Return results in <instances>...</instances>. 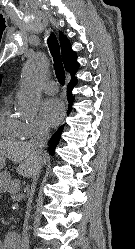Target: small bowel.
Here are the masks:
<instances>
[{"label": "small bowel", "instance_id": "c3829d8e", "mask_svg": "<svg viewBox=\"0 0 135 249\" xmlns=\"http://www.w3.org/2000/svg\"><path fill=\"white\" fill-rule=\"evenodd\" d=\"M0 249H5V247L2 245L1 242H0Z\"/></svg>", "mask_w": 135, "mask_h": 249}]
</instances>
